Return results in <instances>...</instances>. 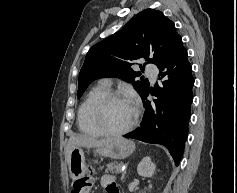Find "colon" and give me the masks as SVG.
<instances>
[{
    "label": "colon",
    "instance_id": "5ec220e1",
    "mask_svg": "<svg viewBox=\"0 0 237 193\" xmlns=\"http://www.w3.org/2000/svg\"><path fill=\"white\" fill-rule=\"evenodd\" d=\"M92 185L93 177L91 174H88L74 181L71 193H89Z\"/></svg>",
    "mask_w": 237,
    "mask_h": 193
}]
</instances>
